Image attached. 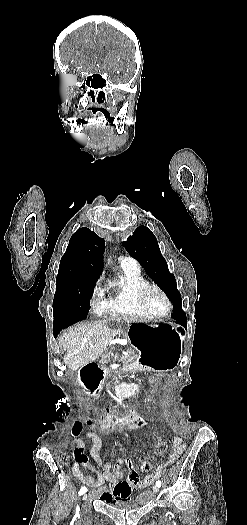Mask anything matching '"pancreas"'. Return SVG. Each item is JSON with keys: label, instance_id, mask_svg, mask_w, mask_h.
<instances>
[{"label": "pancreas", "instance_id": "1", "mask_svg": "<svg viewBox=\"0 0 247 525\" xmlns=\"http://www.w3.org/2000/svg\"><path fill=\"white\" fill-rule=\"evenodd\" d=\"M126 353H128V356H124L126 361H136L137 359H141V356H137L138 352H134L132 348H128ZM101 361H103V364H109V358H107V355H101Z\"/></svg>", "mask_w": 247, "mask_h": 525}]
</instances>
